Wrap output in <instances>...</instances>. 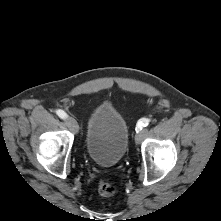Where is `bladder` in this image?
Here are the masks:
<instances>
[{"label":"bladder","instance_id":"31cf9c89","mask_svg":"<svg viewBox=\"0 0 221 221\" xmlns=\"http://www.w3.org/2000/svg\"><path fill=\"white\" fill-rule=\"evenodd\" d=\"M129 127L124 116L108 101L91 111L85 136L88 157L102 167L115 166L126 153Z\"/></svg>","mask_w":221,"mask_h":221}]
</instances>
